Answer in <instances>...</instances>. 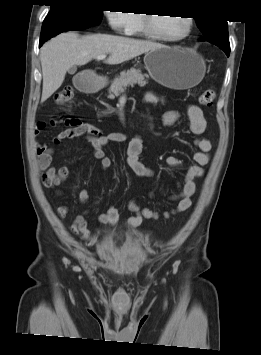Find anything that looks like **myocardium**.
I'll return each instance as SVG.
<instances>
[{
  "instance_id": "myocardium-1",
  "label": "myocardium",
  "mask_w": 261,
  "mask_h": 355,
  "mask_svg": "<svg viewBox=\"0 0 261 355\" xmlns=\"http://www.w3.org/2000/svg\"><path fill=\"white\" fill-rule=\"evenodd\" d=\"M153 15L154 14H152V13H146V14L142 15L143 31L146 35H148L149 37H151L153 39L166 41V42H179V41L186 39L192 33L194 21H193L192 17H190V16L184 17L187 22V29L182 35H180L178 37H167V36L160 34L155 29L154 24H153V18H154Z\"/></svg>"
}]
</instances>
